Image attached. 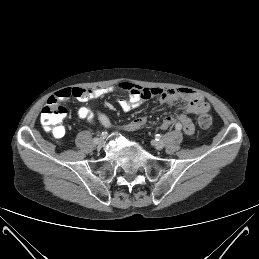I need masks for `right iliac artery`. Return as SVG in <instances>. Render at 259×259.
<instances>
[{
  "mask_svg": "<svg viewBox=\"0 0 259 259\" xmlns=\"http://www.w3.org/2000/svg\"><path fill=\"white\" fill-rule=\"evenodd\" d=\"M92 141H93L94 143H97V142L99 141V138H98L97 136H94V137L92 138Z\"/></svg>",
  "mask_w": 259,
  "mask_h": 259,
  "instance_id": "right-iliac-artery-1",
  "label": "right iliac artery"
}]
</instances>
